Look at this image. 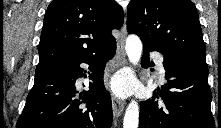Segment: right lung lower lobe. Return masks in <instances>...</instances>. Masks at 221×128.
I'll use <instances>...</instances> for the list:
<instances>
[{
    "label": "right lung lower lobe",
    "mask_w": 221,
    "mask_h": 128,
    "mask_svg": "<svg viewBox=\"0 0 221 128\" xmlns=\"http://www.w3.org/2000/svg\"><path fill=\"white\" fill-rule=\"evenodd\" d=\"M116 52V41L88 57H74L35 74L17 128H110L111 98L103 82L106 61ZM81 63L89 65V90L75 87L85 76Z\"/></svg>",
    "instance_id": "98d812e1"
}]
</instances>
